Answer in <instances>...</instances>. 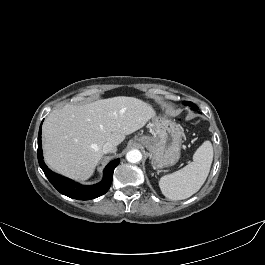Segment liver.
<instances>
[{
    "instance_id": "liver-1",
    "label": "liver",
    "mask_w": 265,
    "mask_h": 265,
    "mask_svg": "<svg viewBox=\"0 0 265 265\" xmlns=\"http://www.w3.org/2000/svg\"><path fill=\"white\" fill-rule=\"evenodd\" d=\"M155 117L146 102L126 96L53 110L42 127L47 165L64 176L85 181L103 157L107 142L118 146L126 135Z\"/></svg>"
}]
</instances>
